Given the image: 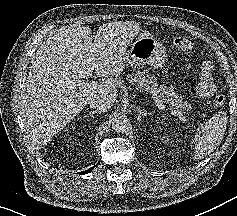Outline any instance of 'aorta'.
Listing matches in <instances>:
<instances>
[{
	"label": "aorta",
	"instance_id": "aorta-1",
	"mask_svg": "<svg viewBox=\"0 0 237 216\" xmlns=\"http://www.w3.org/2000/svg\"><path fill=\"white\" fill-rule=\"evenodd\" d=\"M128 128V121L121 115H117L112 120V129L117 133H123Z\"/></svg>",
	"mask_w": 237,
	"mask_h": 216
}]
</instances>
